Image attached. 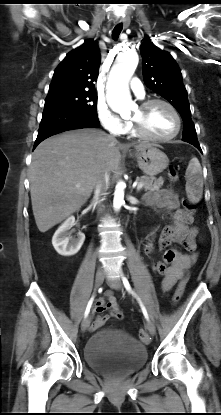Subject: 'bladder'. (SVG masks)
<instances>
[{
    "mask_svg": "<svg viewBox=\"0 0 221 415\" xmlns=\"http://www.w3.org/2000/svg\"><path fill=\"white\" fill-rule=\"evenodd\" d=\"M146 347L122 331L104 329L96 332L84 348V359L95 371L107 375H127L144 366Z\"/></svg>",
    "mask_w": 221,
    "mask_h": 415,
    "instance_id": "bladder-1",
    "label": "bladder"
}]
</instances>
